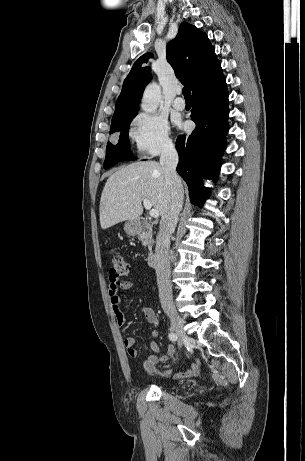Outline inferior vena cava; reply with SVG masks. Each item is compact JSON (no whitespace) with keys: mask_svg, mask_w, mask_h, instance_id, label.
Wrapping results in <instances>:
<instances>
[{"mask_svg":"<svg viewBox=\"0 0 305 461\" xmlns=\"http://www.w3.org/2000/svg\"><path fill=\"white\" fill-rule=\"evenodd\" d=\"M178 153L173 144L167 145L161 153L160 165L163 168L170 196L168 207L163 214L159 233L156 238L155 261L159 298L163 309L173 305L172 286L170 280V236L174 232L180 211L183 206V189L176 172Z\"/></svg>","mask_w":305,"mask_h":461,"instance_id":"inferior-vena-cava-1","label":"inferior vena cava"}]
</instances>
